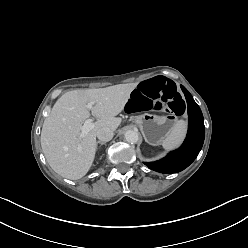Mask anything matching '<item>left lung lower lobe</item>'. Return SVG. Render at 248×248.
Segmentation results:
<instances>
[{
	"mask_svg": "<svg viewBox=\"0 0 248 248\" xmlns=\"http://www.w3.org/2000/svg\"><path fill=\"white\" fill-rule=\"evenodd\" d=\"M187 102L189 116L188 133L184 143L165 158L155 162H144L148 168L160 173H177L187 168L198 156L205 137L202 112L187 89L181 86Z\"/></svg>",
	"mask_w": 248,
	"mask_h": 248,
	"instance_id": "obj_1",
	"label": "left lung lower lobe"
}]
</instances>
